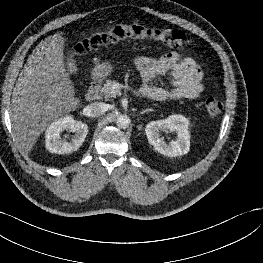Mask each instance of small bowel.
I'll use <instances>...</instances> for the list:
<instances>
[{
  "label": "small bowel",
  "mask_w": 263,
  "mask_h": 263,
  "mask_svg": "<svg viewBox=\"0 0 263 263\" xmlns=\"http://www.w3.org/2000/svg\"><path fill=\"white\" fill-rule=\"evenodd\" d=\"M134 64L139 71L143 84L142 96L164 101L168 99H195L203 91L202 72L195 61L172 51L159 58L138 56ZM169 76L171 89L154 85L161 77Z\"/></svg>",
  "instance_id": "obj_1"
}]
</instances>
